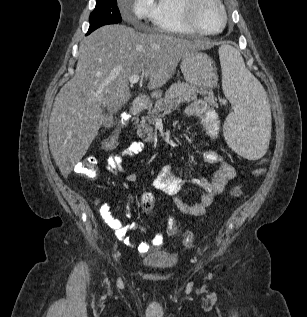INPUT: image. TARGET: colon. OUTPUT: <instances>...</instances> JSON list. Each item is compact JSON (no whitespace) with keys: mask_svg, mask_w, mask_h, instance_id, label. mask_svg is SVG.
Listing matches in <instances>:
<instances>
[{"mask_svg":"<svg viewBox=\"0 0 307 317\" xmlns=\"http://www.w3.org/2000/svg\"><path fill=\"white\" fill-rule=\"evenodd\" d=\"M128 124L126 117H122L118 123L117 128L111 135L103 142L102 150L104 152L112 151L118 144L121 131ZM268 160L263 158L259 161L258 166L253 170V174L260 176L265 172V166ZM75 173L83 176L86 179H94L97 175V161L94 157H88L79 162L75 167ZM243 193L242 185H235L231 188L230 195L233 198H239ZM155 205V197L150 192H144L141 195V207L149 215H152ZM167 231L170 235L178 233L177 223L173 218H169L167 222ZM182 241L185 245H190L193 241V234L190 231H183L180 233Z\"/></svg>","mask_w":307,"mask_h":317,"instance_id":"1","label":"colon"}]
</instances>
